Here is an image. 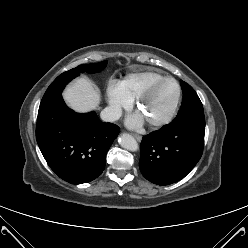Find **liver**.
Listing matches in <instances>:
<instances>
[{
	"mask_svg": "<svg viewBox=\"0 0 248 248\" xmlns=\"http://www.w3.org/2000/svg\"><path fill=\"white\" fill-rule=\"evenodd\" d=\"M67 104L77 112H88L98 107L100 93L86 78H78L63 92Z\"/></svg>",
	"mask_w": 248,
	"mask_h": 248,
	"instance_id": "6515ba94",
	"label": "liver"
}]
</instances>
